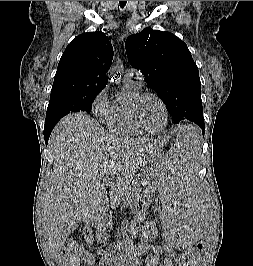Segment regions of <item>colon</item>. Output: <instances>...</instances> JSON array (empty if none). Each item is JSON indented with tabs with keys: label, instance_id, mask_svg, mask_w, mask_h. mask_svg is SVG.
<instances>
[{
	"label": "colon",
	"instance_id": "obj_1",
	"mask_svg": "<svg viewBox=\"0 0 253 266\" xmlns=\"http://www.w3.org/2000/svg\"><path fill=\"white\" fill-rule=\"evenodd\" d=\"M204 250V245L199 244L198 248H190L176 262V266H196ZM91 256L85 252L77 243L68 244L62 251L59 259V266H80L82 262L90 263Z\"/></svg>",
	"mask_w": 253,
	"mask_h": 266
}]
</instances>
